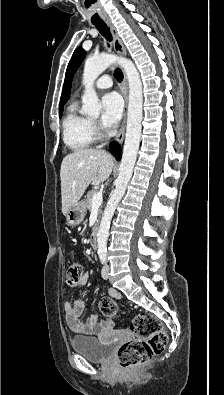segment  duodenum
Masks as SVG:
<instances>
[{"instance_id":"1","label":"duodenum","mask_w":224,"mask_h":395,"mask_svg":"<svg viewBox=\"0 0 224 395\" xmlns=\"http://www.w3.org/2000/svg\"><path fill=\"white\" fill-rule=\"evenodd\" d=\"M99 232V223L96 222L92 228L90 237H89V244L91 247L96 248L97 247V236Z\"/></svg>"}]
</instances>
